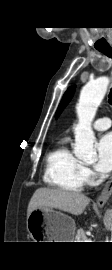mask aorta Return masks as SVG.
<instances>
[{"mask_svg": "<svg viewBox=\"0 0 112 270\" xmlns=\"http://www.w3.org/2000/svg\"><path fill=\"white\" fill-rule=\"evenodd\" d=\"M108 84L107 77H99L86 84L80 93L79 102L76 106L78 124L74 127V154L79 159L86 161L97 159V153L93 148L95 135L91 124L97 108L106 94Z\"/></svg>", "mask_w": 112, "mask_h": 270, "instance_id": "1", "label": "aorta"}]
</instances>
